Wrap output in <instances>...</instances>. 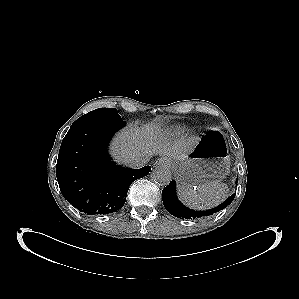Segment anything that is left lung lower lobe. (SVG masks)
Masks as SVG:
<instances>
[{
  "label": "left lung lower lobe",
  "instance_id": "0a47b994",
  "mask_svg": "<svg viewBox=\"0 0 299 299\" xmlns=\"http://www.w3.org/2000/svg\"><path fill=\"white\" fill-rule=\"evenodd\" d=\"M176 183L175 181H171L169 185H167L162 190V200L166 210L171 213L173 216L180 219H195L203 216H209L220 210L226 208L234 199L235 194L231 195L225 202L220 204L219 206L212 208L206 211H194L186 206H184L178 199L175 193Z\"/></svg>",
  "mask_w": 299,
  "mask_h": 299
}]
</instances>
